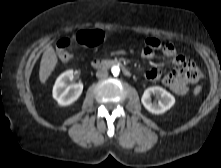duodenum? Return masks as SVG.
Returning a JSON list of instances; mask_svg holds the SVG:
<instances>
[{
    "label": "duodenum",
    "mask_w": 221,
    "mask_h": 168,
    "mask_svg": "<svg viewBox=\"0 0 221 168\" xmlns=\"http://www.w3.org/2000/svg\"><path fill=\"white\" fill-rule=\"evenodd\" d=\"M91 65L95 69H108L116 66L120 67L126 76L131 75L130 69L123 62L117 59H111V60L94 59L92 60Z\"/></svg>",
    "instance_id": "1"
}]
</instances>
